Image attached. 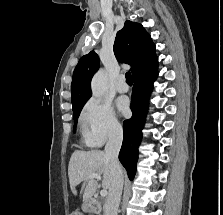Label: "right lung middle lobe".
I'll list each match as a JSON object with an SVG mask.
<instances>
[{"mask_svg":"<svg viewBox=\"0 0 223 215\" xmlns=\"http://www.w3.org/2000/svg\"><path fill=\"white\" fill-rule=\"evenodd\" d=\"M82 107H83V105H81V106H79V107L73 109V117H74V120H75V121H77L78 116H79V114H80V112H81ZM75 125H76V123H75ZM74 129H75V127H74Z\"/></svg>","mask_w":223,"mask_h":215,"instance_id":"obj_1","label":"right lung middle lobe"}]
</instances>
